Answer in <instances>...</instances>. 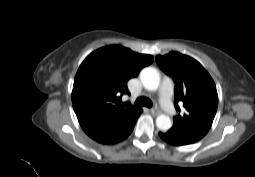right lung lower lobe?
Listing matches in <instances>:
<instances>
[{"label":"right lung lower lobe","mask_w":255,"mask_h":177,"mask_svg":"<svg viewBox=\"0 0 255 177\" xmlns=\"http://www.w3.org/2000/svg\"><path fill=\"white\" fill-rule=\"evenodd\" d=\"M141 112L142 110L139 109L131 114H128L91 138L98 143L107 145L115 144L126 139L132 132L136 120Z\"/></svg>","instance_id":"98d812e1"}]
</instances>
